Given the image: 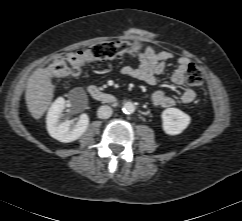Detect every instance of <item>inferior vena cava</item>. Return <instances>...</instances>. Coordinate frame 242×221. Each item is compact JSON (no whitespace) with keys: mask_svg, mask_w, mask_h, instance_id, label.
Here are the masks:
<instances>
[{"mask_svg":"<svg viewBox=\"0 0 242 221\" xmlns=\"http://www.w3.org/2000/svg\"><path fill=\"white\" fill-rule=\"evenodd\" d=\"M112 113H113L112 108L108 105H103L99 107L97 111V115L101 119H108L109 117H111Z\"/></svg>","mask_w":242,"mask_h":221,"instance_id":"inferior-vena-cava-1","label":"inferior vena cava"}]
</instances>
